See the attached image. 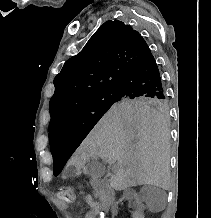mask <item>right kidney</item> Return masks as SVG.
Returning <instances> with one entry per match:
<instances>
[{"mask_svg":"<svg viewBox=\"0 0 211 218\" xmlns=\"http://www.w3.org/2000/svg\"><path fill=\"white\" fill-rule=\"evenodd\" d=\"M123 202H132V206H136V209H130L129 213L132 218H145L143 211H146V206H143L139 193H135L130 188H125L123 197L119 198L118 206H123ZM118 206H113V211H118Z\"/></svg>","mask_w":211,"mask_h":218,"instance_id":"1","label":"right kidney"}]
</instances>
